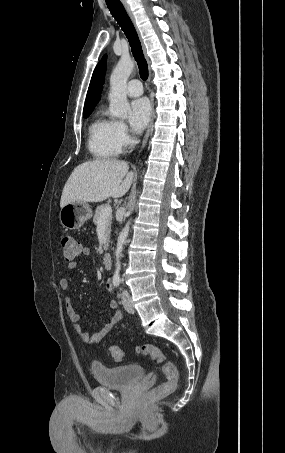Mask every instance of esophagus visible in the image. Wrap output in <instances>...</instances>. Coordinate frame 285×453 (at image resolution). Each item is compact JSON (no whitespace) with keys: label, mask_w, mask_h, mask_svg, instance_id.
Here are the masks:
<instances>
[{"label":"esophagus","mask_w":285,"mask_h":453,"mask_svg":"<svg viewBox=\"0 0 285 453\" xmlns=\"http://www.w3.org/2000/svg\"><path fill=\"white\" fill-rule=\"evenodd\" d=\"M121 1H122L123 6H124V8H125V10H126V12H127V14H128V16L130 17V19H131V21H132V23H133V25H134V27H135L137 33H138L139 39H140L141 44H142V49H143L145 58H146V60H147V62H148V64H149V85H150V83H151V78H152V72H151V69H150V61H149V58H148V56H147V54H146V49H145L144 44H143V42H142V39H141L139 30H138V27H137L136 22H135V18H134L133 13H132V11H131V9H130V6L128 5V3L126 2V0H121ZM149 90H150V88H149ZM154 106H155V105H154V99L151 97V118H150V122H149L148 128H147V130H146V133H145L144 138H143V141H142V145H141V150H140V152L145 148L146 143H147L148 138H149V135H150V132H151V130H152L153 120H154Z\"/></svg>","instance_id":"obj_1"}]
</instances>
